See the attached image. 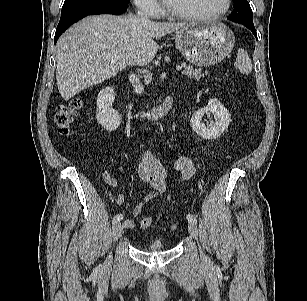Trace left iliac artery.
<instances>
[{
  "mask_svg": "<svg viewBox=\"0 0 307 301\" xmlns=\"http://www.w3.org/2000/svg\"><path fill=\"white\" fill-rule=\"evenodd\" d=\"M187 220L189 221V222H193V223H197V219H196V217L194 216V215H192V214H188L187 215Z\"/></svg>",
  "mask_w": 307,
  "mask_h": 301,
  "instance_id": "obj_1",
  "label": "left iliac artery"
}]
</instances>
